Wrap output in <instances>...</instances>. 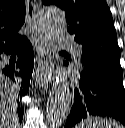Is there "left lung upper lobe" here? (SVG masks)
I'll use <instances>...</instances> for the list:
<instances>
[{
	"instance_id": "5c2ea615",
	"label": "left lung upper lobe",
	"mask_w": 125,
	"mask_h": 128,
	"mask_svg": "<svg viewBox=\"0 0 125 128\" xmlns=\"http://www.w3.org/2000/svg\"><path fill=\"white\" fill-rule=\"evenodd\" d=\"M66 14L68 32L82 45L81 69L120 65V48L112 14L105 0H43Z\"/></svg>"
}]
</instances>
